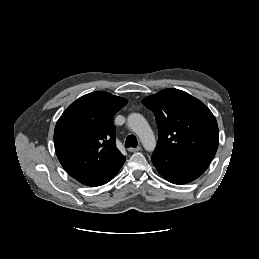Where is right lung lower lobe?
Returning <instances> with one entry per match:
<instances>
[{"label":"right lung lower lobe","instance_id":"1","mask_svg":"<svg viewBox=\"0 0 259 259\" xmlns=\"http://www.w3.org/2000/svg\"><path fill=\"white\" fill-rule=\"evenodd\" d=\"M124 162H125V159H123L122 161L114 165L112 168H110L108 171L100 175L89 177V178L78 179V181L87 186L103 185L109 182L117 174V172L120 170Z\"/></svg>","mask_w":259,"mask_h":259}]
</instances>
